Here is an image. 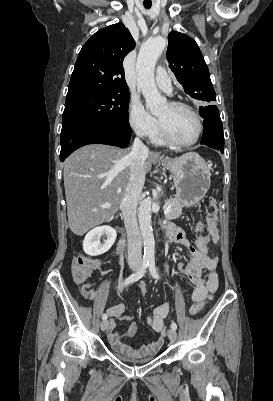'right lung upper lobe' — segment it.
Listing matches in <instances>:
<instances>
[{"mask_svg":"<svg viewBox=\"0 0 273 401\" xmlns=\"http://www.w3.org/2000/svg\"><path fill=\"white\" fill-rule=\"evenodd\" d=\"M134 47L133 37L121 23L97 31L78 55L67 96L91 91L128 93L123 59Z\"/></svg>","mask_w":273,"mask_h":401,"instance_id":"right-lung-upper-lobe-1","label":"right lung upper lobe"}]
</instances>
